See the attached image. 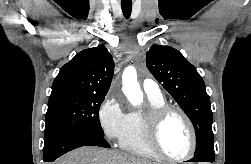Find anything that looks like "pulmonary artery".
<instances>
[{
	"label": "pulmonary artery",
	"instance_id": "obj_1",
	"mask_svg": "<svg viewBox=\"0 0 251 164\" xmlns=\"http://www.w3.org/2000/svg\"><path fill=\"white\" fill-rule=\"evenodd\" d=\"M143 90L147 96H161V90L158 84L152 79L146 78L142 82Z\"/></svg>",
	"mask_w": 251,
	"mask_h": 164
}]
</instances>
